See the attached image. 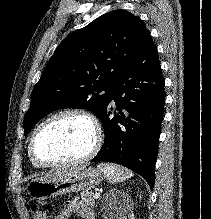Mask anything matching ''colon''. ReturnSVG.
Masks as SVG:
<instances>
[{"mask_svg":"<svg viewBox=\"0 0 211 219\" xmlns=\"http://www.w3.org/2000/svg\"><path fill=\"white\" fill-rule=\"evenodd\" d=\"M27 207L33 219H52L54 209L49 203L32 201Z\"/></svg>","mask_w":211,"mask_h":219,"instance_id":"1","label":"colon"}]
</instances>
